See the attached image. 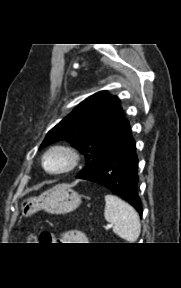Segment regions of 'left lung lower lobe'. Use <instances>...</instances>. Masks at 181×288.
<instances>
[{"instance_id": "obj_1", "label": "left lung lower lobe", "mask_w": 181, "mask_h": 288, "mask_svg": "<svg viewBox=\"0 0 181 288\" xmlns=\"http://www.w3.org/2000/svg\"><path fill=\"white\" fill-rule=\"evenodd\" d=\"M137 169L136 144L127 123L120 141L92 172L80 178L108 188L131 204L142 216V204L137 192Z\"/></svg>"}]
</instances>
